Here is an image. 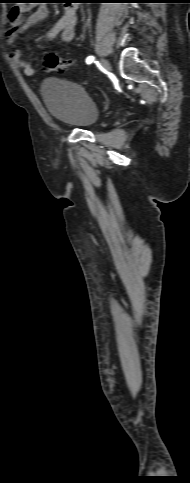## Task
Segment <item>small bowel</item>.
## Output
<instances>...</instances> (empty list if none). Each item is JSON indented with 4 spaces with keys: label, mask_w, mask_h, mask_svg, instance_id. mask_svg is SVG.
<instances>
[{
    "label": "small bowel",
    "mask_w": 190,
    "mask_h": 483,
    "mask_svg": "<svg viewBox=\"0 0 190 483\" xmlns=\"http://www.w3.org/2000/svg\"><path fill=\"white\" fill-rule=\"evenodd\" d=\"M31 3V2H26ZM48 15V8L45 5L34 6L33 4H23L14 7L8 14V28L5 32L7 45L11 48L9 52L10 61L23 69L24 73L32 76L35 73L34 67L22 58V51L17 45L16 39L20 32L29 29ZM77 24V6L73 3L66 4L64 14L46 32V40H53L60 37L64 43H70L75 37Z\"/></svg>",
    "instance_id": "small-bowel-1"
}]
</instances>
